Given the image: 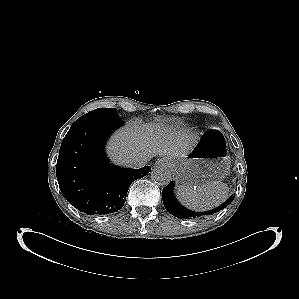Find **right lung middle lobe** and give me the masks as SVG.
I'll return each mask as SVG.
<instances>
[{
  "label": "right lung middle lobe",
  "instance_id": "obj_1",
  "mask_svg": "<svg viewBox=\"0 0 299 299\" xmlns=\"http://www.w3.org/2000/svg\"><path fill=\"white\" fill-rule=\"evenodd\" d=\"M120 120L116 108H98L78 118L73 125Z\"/></svg>",
  "mask_w": 299,
  "mask_h": 299
}]
</instances>
